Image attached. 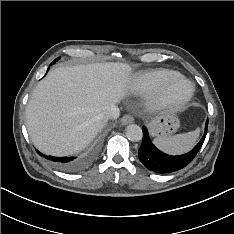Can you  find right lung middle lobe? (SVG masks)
Listing matches in <instances>:
<instances>
[{"label":"right lung middle lobe","mask_w":234,"mask_h":234,"mask_svg":"<svg viewBox=\"0 0 234 234\" xmlns=\"http://www.w3.org/2000/svg\"><path fill=\"white\" fill-rule=\"evenodd\" d=\"M59 58H60V57L56 58V59L51 63V65L54 64Z\"/></svg>","instance_id":"dd1d6c3e"}]
</instances>
